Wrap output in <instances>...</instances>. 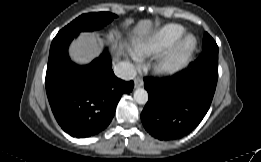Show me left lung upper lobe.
<instances>
[{"mask_svg":"<svg viewBox=\"0 0 261 162\" xmlns=\"http://www.w3.org/2000/svg\"><path fill=\"white\" fill-rule=\"evenodd\" d=\"M202 48H203V50L218 52V46H217L216 42L207 32H205V34H204Z\"/></svg>","mask_w":261,"mask_h":162,"instance_id":"5c2ea615","label":"left lung upper lobe"}]
</instances>
